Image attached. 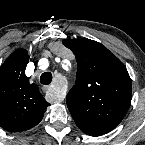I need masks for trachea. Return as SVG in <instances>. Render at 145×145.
Segmentation results:
<instances>
[{
    "label": "trachea",
    "mask_w": 145,
    "mask_h": 145,
    "mask_svg": "<svg viewBox=\"0 0 145 145\" xmlns=\"http://www.w3.org/2000/svg\"><path fill=\"white\" fill-rule=\"evenodd\" d=\"M52 74L50 72H44L40 77V82L44 85H48L52 81Z\"/></svg>",
    "instance_id": "1"
}]
</instances>
